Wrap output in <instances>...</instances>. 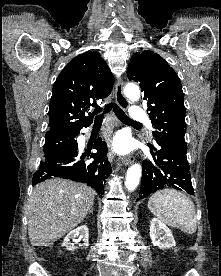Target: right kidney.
<instances>
[{"instance_id":"right-kidney-1","label":"right kidney","mask_w":221,"mask_h":276,"mask_svg":"<svg viewBox=\"0 0 221 276\" xmlns=\"http://www.w3.org/2000/svg\"><path fill=\"white\" fill-rule=\"evenodd\" d=\"M78 238V239H75ZM88 238H89V231L86 225H82L67 234L63 241V246L66 247L67 250L73 251L76 247L70 243V240H74L75 242H79L83 240L84 246H88Z\"/></svg>"}]
</instances>
